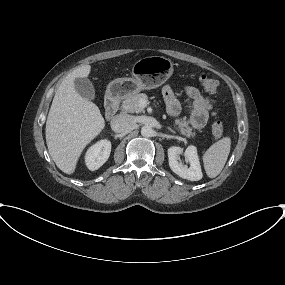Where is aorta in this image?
Here are the masks:
<instances>
[{
    "label": "aorta",
    "mask_w": 285,
    "mask_h": 285,
    "mask_svg": "<svg viewBox=\"0 0 285 285\" xmlns=\"http://www.w3.org/2000/svg\"><path fill=\"white\" fill-rule=\"evenodd\" d=\"M153 128L151 126L145 125L141 128V135L143 137H151L153 135Z\"/></svg>",
    "instance_id": "1"
}]
</instances>
